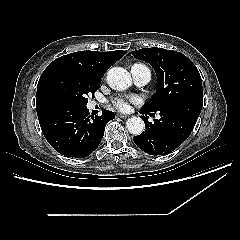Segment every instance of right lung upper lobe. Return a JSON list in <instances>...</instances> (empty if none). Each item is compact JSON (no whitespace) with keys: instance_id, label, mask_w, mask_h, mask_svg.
<instances>
[{"instance_id":"right-lung-upper-lobe-1","label":"right lung upper lobe","mask_w":240,"mask_h":240,"mask_svg":"<svg viewBox=\"0 0 240 240\" xmlns=\"http://www.w3.org/2000/svg\"><path fill=\"white\" fill-rule=\"evenodd\" d=\"M125 53L122 50L110 52L78 51L55 59L44 70L37 85V115L51 108L43 102L41 91L44 82L53 73L59 70H68L83 78L101 80L107 69L120 60Z\"/></svg>"}]
</instances>
